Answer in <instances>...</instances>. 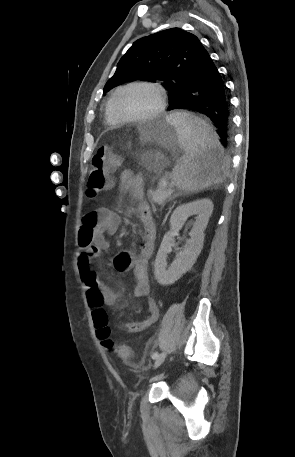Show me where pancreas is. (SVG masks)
Here are the masks:
<instances>
[{"label": "pancreas", "mask_w": 295, "mask_h": 457, "mask_svg": "<svg viewBox=\"0 0 295 457\" xmlns=\"http://www.w3.org/2000/svg\"><path fill=\"white\" fill-rule=\"evenodd\" d=\"M172 190L166 185L162 186L159 182L157 190H149V198L158 204H163L171 196Z\"/></svg>", "instance_id": "cf45deb5"}]
</instances>
